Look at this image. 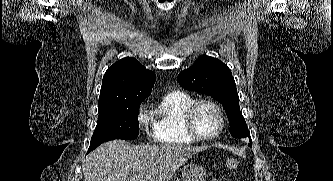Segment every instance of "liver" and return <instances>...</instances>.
I'll list each match as a JSON object with an SVG mask.
<instances>
[{
    "instance_id": "6515ba94",
    "label": "liver",
    "mask_w": 333,
    "mask_h": 181,
    "mask_svg": "<svg viewBox=\"0 0 333 181\" xmlns=\"http://www.w3.org/2000/svg\"><path fill=\"white\" fill-rule=\"evenodd\" d=\"M203 150L205 147L190 145L109 141L87 155L85 181H169L188 158Z\"/></svg>"
}]
</instances>
